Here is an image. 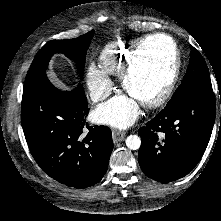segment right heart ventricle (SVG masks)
I'll use <instances>...</instances> for the list:
<instances>
[{"label":"right heart ventricle","instance_id":"right-heart-ventricle-1","mask_svg":"<svg viewBox=\"0 0 221 221\" xmlns=\"http://www.w3.org/2000/svg\"><path fill=\"white\" fill-rule=\"evenodd\" d=\"M142 38L137 36L115 41L105 46L99 57L101 71L106 76H119L128 61L132 49Z\"/></svg>","mask_w":221,"mask_h":221}]
</instances>
